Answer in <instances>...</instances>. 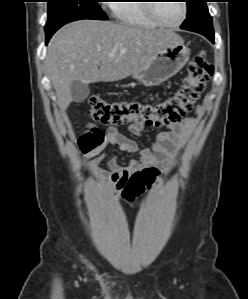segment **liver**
<instances>
[{
	"mask_svg": "<svg viewBox=\"0 0 248 299\" xmlns=\"http://www.w3.org/2000/svg\"><path fill=\"white\" fill-rule=\"evenodd\" d=\"M181 42L169 29L99 20L66 24L51 38L45 61L60 110L73 100V81L87 85L124 79L144 69L168 45Z\"/></svg>",
	"mask_w": 248,
	"mask_h": 299,
	"instance_id": "1",
	"label": "liver"
}]
</instances>
